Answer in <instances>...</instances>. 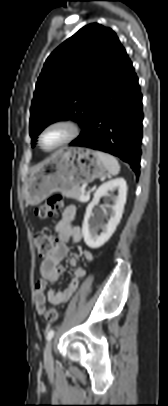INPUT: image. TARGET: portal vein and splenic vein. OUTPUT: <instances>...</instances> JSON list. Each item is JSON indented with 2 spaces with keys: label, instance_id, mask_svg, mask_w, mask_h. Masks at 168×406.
I'll use <instances>...</instances> for the list:
<instances>
[{
  "label": "portal vein and splenic vein",
  "instance_id": "portal-vein-and-splenic-vein-1",
  "mask_svg": "<svg viewBox=\"0 0 168 406\" xmlns=\"http://www.w3.org/2000/svg\"><path fill=\"white\" fill-rule=\"evenodd\" d=\"M82 201H87L89 199V193L84 196V194L81 196Z\"/></svg>",
  "mask_w": 168,
  "mask_h": 406
}]
</instances>
